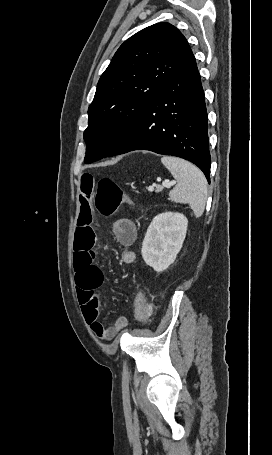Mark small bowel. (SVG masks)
I'll return each mask as SVG.
<instances>
[{"label": "small bowel", "instance_id": "1", "mask_svg": "<svg viewBox=\"0 0 272 455\" xmlns=\"http://www.w3.org/2000/svg\"><path fill=\"white\" fill-rule=\"evenodd\" d=\"M96 187L95 176L83 173L79 180L80 214L75 233L74 268L79 302L85 320L93 332L104 340H111L126 324L124 317L111 325L99 321L101 288L103 273L95 263V233L92 228L93 214L90 200ZM114 236L121 247V259L125 264L135 262L136 255L132 250L137 231L129 219H119L113 224Z\"/></svg>", "mask_w": 272, "mask_h": 455}]
</instances>
